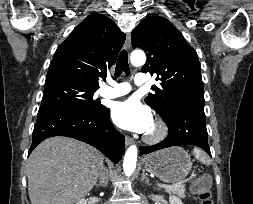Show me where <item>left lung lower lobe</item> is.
Returning <instances> with one entry per match:
<instances>
[{
    "mask_svg": "<svg viewBox=\"0 0 253 204\" xmlns=\"http://www.w3.org/2000/svg\"><path fill=\"white\" fill-rule=\"evenodd\" d=\"M164 121L169 129L167 138L156 145L140 147L141 155L171 146L194 145L202 148L211 156L207 142L208 134L204 105L193 104L180 108L175 111L168 120Z\"/></svg>",
    "mask_w": 253,
    "mask_h": 204,
    "instance_id": "obj_1",
    "label": "left lung lower lobe"
}]
</instances>
